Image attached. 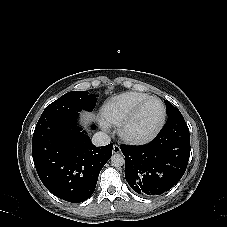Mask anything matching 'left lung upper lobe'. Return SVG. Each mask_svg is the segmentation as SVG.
<instances>
[{"label": "left lung upper lobe", "instance_id": "1", "mask_svg": "<svg viewBox=\"0 0 227 227\" xmlns=\"http://www.w3.org/2000/svg\"><path fill=\"white\" fill-rule=\"evenodd\" d=\"M165 104H166V112H167V116H170L171 114L175 113L178 109L176 107H174L169 101L164 100Z\"/></svg>", "mask_w": 227, "mask_h": 227}]
</instances>
